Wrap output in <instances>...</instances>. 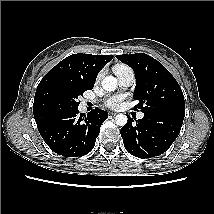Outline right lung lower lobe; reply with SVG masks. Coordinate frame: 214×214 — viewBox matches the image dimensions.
Here are the masks:
<instances>
[{
    "instance_id": "obj_1",
    "label": "right lung lower lobe",
    "mask_w": 214,
    "mask_h": 214,
    "mask_svg": "<svg viewBox=\"0 0 214 214\" xmlns=\"http://www.w3.org/2000/svg\"><path fill=\"white\" fill-rule=\"evenodd\" d=\"M108 118L99 108L79 114L77 108L51 111L36 121L39 133L55 153L66 157H80L94 147L101 124Z\"/></svg>"
}]
</instances>
